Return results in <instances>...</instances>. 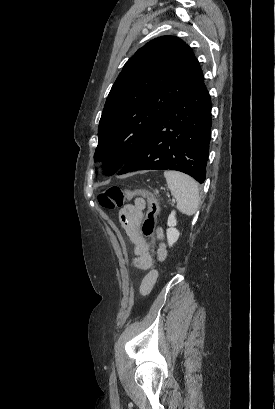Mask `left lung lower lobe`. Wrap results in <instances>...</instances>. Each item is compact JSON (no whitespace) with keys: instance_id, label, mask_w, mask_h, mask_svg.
<instances>
[{"instance_id":"0a47b994","label":"left lung lower lobe","mask_w":275,"mask_h":409,"mask_svg":"<svg viewBox=\"0 0 275 409\" xmlns=\"http://www.w3.org/2000/svg\"><path fill=\"white\" fill-rule=\"evenodd\" d=\"M211 124V99L203 81L159 118L118 175L145 169H172L203 183Z\"/></svg>"}]
</instances>
